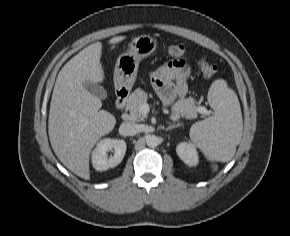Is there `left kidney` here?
Returning <instances> with one entry per match:
<instances>
[{
  "label": "left kidney",
  "instance_id": "5707ae66",
  "mask_svg": "<svg viewBox=\"0 0 290 236\" xmlns=\"http://www.w3.org/2000/svg\"><path fill=\"white\" fill-rule=\"evenodd\" d=\"M176 152L179 158L187 165L196 166L198 164V153L192 144L180 143L176 148Z\"/></svg>",
  "mask_w": 290,
  "mask_h": 236
}]
</instances>
